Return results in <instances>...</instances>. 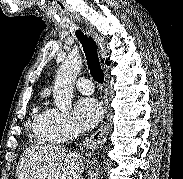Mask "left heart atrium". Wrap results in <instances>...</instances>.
Returning <instances> with one entry per match:
<instances>
[{
  "label": "left heart atrium",
  "mask_w": 183,
  "mask_h": 179,
  "mask_svg": "<svg viewBox=\"0 0 183 179\" xmlns=\"http://www.w3.org/2000/svg\"><path fill=\"white\" fill-rule=\"evenodd\" d=\"M77 123L84 129L94 128L103 116V108L95 98L79 99L74 107Z\"/></svg>",
  "instance_id": "1"
}]
</instances>
